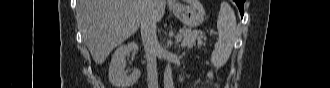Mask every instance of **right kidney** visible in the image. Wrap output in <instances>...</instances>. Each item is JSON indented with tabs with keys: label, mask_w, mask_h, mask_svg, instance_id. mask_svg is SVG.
Instances as JSON below:
<instances>
[{
	"label": "right kidney",
	"mask_w": 330,
	"mask_h": 88,
	"mask_svg": "<svg viewBox=\"0 0 330 88\" xmlns=\"http://www.w3.org/2000/svg\"><path fill=\"white\" fill-rule=\"evenodd\" d=\"M139 50L137 43L130 42L127 45L119 46L113 56L109 66V81L116 88H129L135 84L140 77V70L134 69L130 75L124 73L126 56Z\"/></svg>",
	"instance_id": "1"
}]
</instances>
